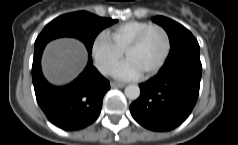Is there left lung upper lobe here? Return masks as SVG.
Instances as JSON below:
<instances>
[{"mask_svg": "<svg viewBox=\"0 0 238 145\" xmlns=\"http://www.w3.org/2000/svg\"><path fill=\"white\" fill-rule=\"evenodd\" d=\"M152 20L166 30L170 40V52L163 66L191 54H200L197 40L181 24L163 16H156Z\"/></svg>", "mask_w": 238, "mask_h": 145, "instance_id": "obj_1", "label": "left lung upper lobe"}]
</instances>
